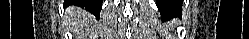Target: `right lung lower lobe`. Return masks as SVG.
Instances as JSON below:
<instances>
[{
	"instance_id": "obj_1",
	"label": "right lung lower lobe",
	"mask_w": 249,
	"mask_h": 39,
	"mask_svg": "<svg viewBox=\"0 0 249 39\" xmlns=\"http://www.w3.org/2000/svg\"><path fill=\"white\" fill-rule=\"evenodd\" d=\"M102 0H78L74 1V4L85 8L90 13L99 17L100 10L102 8ZM69 4V3H68Z\"/></svg>"
}]
</instances>
